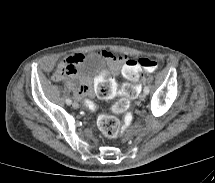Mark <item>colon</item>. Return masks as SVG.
I'll return each mask as SVG.
<instances>
[{"mask_svg":"<svg viewBox=\"0 0 215 183\" xmlns=\"http://www.w3.org/2000/svg\"><path fill=\"white\" fill-rule=\"evenodd\" d=\"M159 67V63L153 59L140 58L138 60H128L123 66V75L126 79L123 85V97L118 98L113 102L110 107V114H103L99 117L98 125L103 134L108 137H115L120 131V122L117 115L123 117L125 125H129L132 121V114L129 111V99L136 98L139 87L137 85L139 79V71L144 69L146 71H155ZM71 71L65 65L58 67L55 74L56 78H62L70 75ZM85 104L94 108L95 105L89 99V96H85Z\"/></svg>","mask_w":215,"mask_h":183,"instance_id":"1","label":"colon"}]
</instances>
